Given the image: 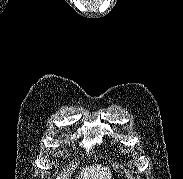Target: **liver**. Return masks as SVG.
Segmentation results:
<instances>
[{"instance_id":"liver-1","label":"liver","mask_w":183,"mask_h":179,"mask_svg":"<svg viewBox=\"0 0 183 179\" xmlns=\"http://www.w3.org/2000/svg\"><path fill=\"white\" fill-rule=\"evenodd\" d=\"M77 179H111V170L108 166L95 164L82 168Z\"/></svg>"}]
</instances>
